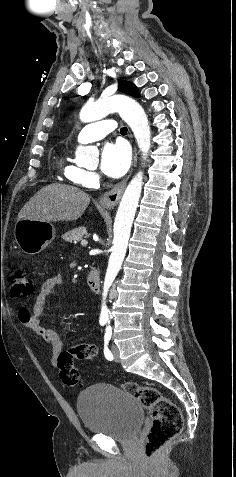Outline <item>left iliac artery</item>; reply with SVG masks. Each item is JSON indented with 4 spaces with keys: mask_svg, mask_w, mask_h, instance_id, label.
I'll use <instances>...</instances> for the list:
<instances>
[{
    "mask_svg": "<svg viewBox=\"0 0 236 477\" xmlns=\"http://www.w3.org/2000/svg\"><path fill=\"white\" fill-rule=\"evenodd\" d=\"M112 336V329L110 326H107L106 331H105V336H104V355L107 360H113V355L111 351L108 348V343L111 339Z\"/></svg>",
    "mask_w": 236,
    "mask_h": 477,
    "instance_id": "left-iliac-artery-1",
    "label": "left iliac artery"
}]
</instances>
